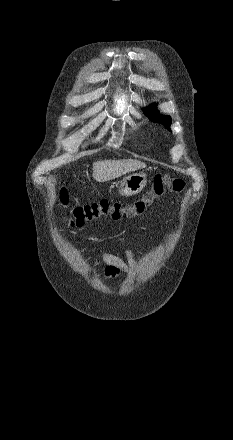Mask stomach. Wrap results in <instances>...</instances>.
Instances as JSON below:
<instances>
[{
    "label": "stomach",
    "mask_w": 233,
    "mask_h": 440,
    "mask_svg": "<svg viewBox=\"0 0 233 440\" xmlns=\"http://www.w3.org/2000/svg\"><path fill=\"white\" fill-rule=\"evenodd\" d=\"M147 179L143 173H134L118 182L117 188L122 196L138 194L146 186Z\"/></svg>",
    "instance_id": "obj_1"
}]
</instances>
